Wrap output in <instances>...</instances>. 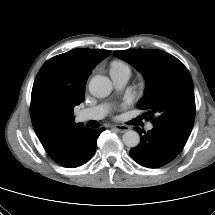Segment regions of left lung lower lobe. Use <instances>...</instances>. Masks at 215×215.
Segmentation results:
<instances>
[{
    "mask_svg": "<svg viewBox=\"0 0 215 215\" xmlns=\"http://www.w3.org/2000/svg\"><path fill=\"white\" fill-rule=\"evenodd\" d=\"M139 132L141 141L138 146L130 150V155L138 164L148 168H159L172 161L182 151L186 144L169 131L153 126L147 133Z\"/></svg>",
    "mask_w": 215,
    "mask_h": 215,
    "instance_id": "1",
    "label": "left lung lower lobe"
}]
</instances>
